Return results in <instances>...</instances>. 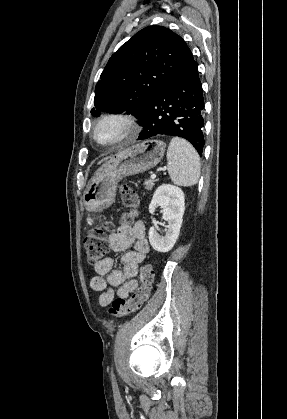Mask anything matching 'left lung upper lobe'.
<instances>
[{
    "label": "left lung upper lobe",
    "instance_id": "obj_1",
    "mask_svg": "<svg viewBox=\"0 0 287 419\" xmlns=\"http://www.w3.org/2000/svg\"><path fill=\"white\" fill-rule=\"evenodd\" d=\"M194 62L185 41L171 30L142 29L109 59L96 85L91 114L126 112L142 122L152 97Z\"/></svg>",
    "mask_w": 287,
    "mask_h": 419
}]
</instances>
